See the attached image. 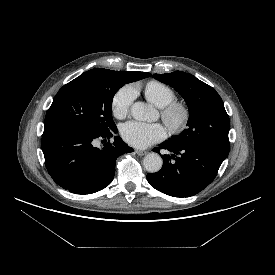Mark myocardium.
Instances as JSON below:
<instances>
[{
    "label": "myocardium",
    "mask_w": 275,
    "mask_h": 275,
    "mask_svg": "<svg viewBox=\"0 0 275 275\" xmlns=\"http://www.w3.org/2000/svg\"><path fill=\"white\" fill-rule=\"evenodd\" d=\"M189 108L181 101L173 100L161 109V118L171 132L181 130L189 119Z\"/></svg>",
    "instance_id": "f54148a6"
}]
</instances>
